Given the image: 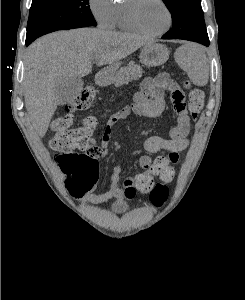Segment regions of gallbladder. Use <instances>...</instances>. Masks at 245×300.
Here are the masks:
<instances>
[{
  "label": "gallbladder",
  "instance_id": "gallbladder-1",
  "mask_svg": "<svg viewBox=\"0 0 245 300\" xmlns=\"http://www.w3.org/2000/svg\"><path fill=\"white\" fill-rule=\"evenodd\" d=\"M83 89V80L79 77L61 79L55 87V96L59 105H65L76 99Z\"/></svg>",
  "mask_w": 245,
  "mask_h": 300
}]
</instances>
